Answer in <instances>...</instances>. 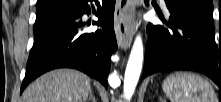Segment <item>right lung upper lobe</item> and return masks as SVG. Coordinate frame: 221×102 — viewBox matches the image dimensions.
<instances>
[{
	"label": "right lung upper lobe",
	"instance_id": "cb5924a9",
	"mask_svg": "<svg viewBox=\"0 0 221 102\" xmlns=\"http://www.w3.org/2000/svg\"><path fill=\"white\" fill-rule=\"evenodd\" d=\"M56 0H38L37 8H42L51 5Z\"/></svg>",
	"mask_w": 221,
	"mask_h": 102
}]
</instances>
